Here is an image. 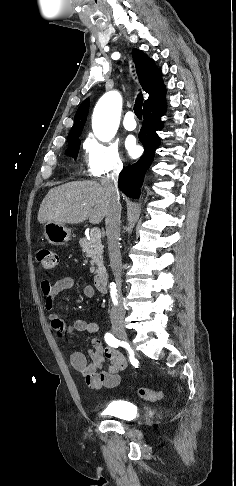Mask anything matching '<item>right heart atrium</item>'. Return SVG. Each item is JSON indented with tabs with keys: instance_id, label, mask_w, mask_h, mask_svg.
I'll return each mask as SVG.
<instances>
[{
	"instance_id": "d8ad5b80",
	"label": "right heart atrium",
	"mask_w": 236,
	"mask_h": 486,
	"mask_svg": "<svg viewBox=\"0 0 236 486\" xmlns=\"http://www.w3.org/2000/svg\"><path fill=\"white\" fill-rule=\"evenodd\" d=\"M84 158L87 174L92 178H102L121 172L123 158L115 143L103 142L89 136L84 142Z\"/></svg>"
}]
</instances>
